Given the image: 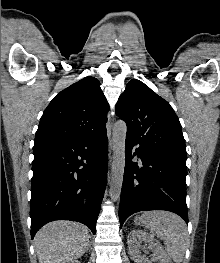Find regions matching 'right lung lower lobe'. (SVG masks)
<instances>
[{
  "mask_svg": "<svg viewBox=\"0 0 220 263\" xmlns=\"http://www.w3.org/2000/svg\"><path fill=\"white\" fill-rule=\"evenodd\" d=\"M106 131L92 137L34 146L31 237L46 223L71 220L95 234L107 183Z\"/></svg>",
  "mask_w": 220,
  "mask_h": 263,
  "instance_id": "right-lung-lower-lobe-1",
  "label": "right lung lower lobe"
}]
</instances>
